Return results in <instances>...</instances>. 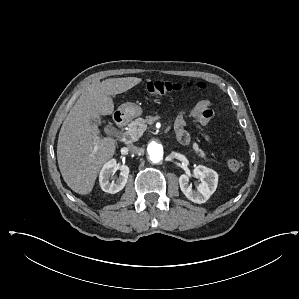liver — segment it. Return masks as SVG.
I'll return each mask as SVG.
<instances>
[{
	"instance_id": "liver-1",
	"label": "liver",
	"mask_w": 299,
	"mask_h": 299,
	"mask_svg": "<svg viewBox=\"0 0 299 299\" xmlns=\"http://www.w3.org/2000/svg\"><path fill=\"white\" fill-rule=\"evenodd\" d=\"M142 81L137 77L95 81L82 92L60 129L57 160L66 184L76 193L89 194L102 166L116 150V141L101 137L100 116L111 115V96L124 93Z\"/></svg>"
}]
</instances>
